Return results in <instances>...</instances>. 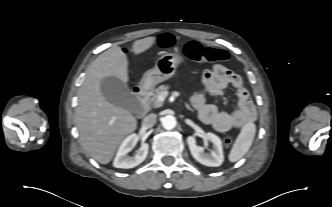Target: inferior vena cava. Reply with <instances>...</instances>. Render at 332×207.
<instances>
[{
	"instance_id": "602c4592",
	"label": "inferior vena cava",
	"mask_w": 332,
	"mask_h": 207,
	"mask_svg": "<svg viewBox=\"0 0 332 207\" xmlns=\"http://www.w3.org/2000/svg\"><path fill=\"white\" fill-rule=\"evenodd\" d=\"M156 118V114H149L143 119L142 125L146 128H151L156 123Z\"/></svg>"
}]
</instances>
